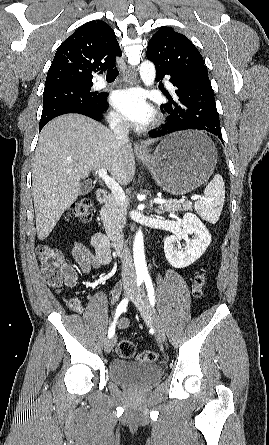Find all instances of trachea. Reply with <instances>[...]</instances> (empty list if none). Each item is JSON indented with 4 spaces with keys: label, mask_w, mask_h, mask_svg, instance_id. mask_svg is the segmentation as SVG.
Returning a JSON list of instances; mask_svg holds the SVG:
<instances>
[{
    "label": "trachea",
    "mask_w": 269,
    "mask_h": 445,
    "mask_svg": "<svg viewBox=\"0 0 269 445\" xmlns=\"http://www.w3.org/2000/svg\"><path fill=\"white\" fill-rule=\"evenodd\" d=\"M119 71L116 69H108L106 77H117Z\"/></svg>",
    "instance_id": "trachea-1"
}]
</instances>
